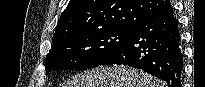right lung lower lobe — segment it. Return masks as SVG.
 Segmentation results:
<instances>
[{"mask_svg":"<svg viewBox=\"0 0 205 87\" xmlns=\"http://www.w3.org/2000/svg\"><path fill=\"white\" fill-rule=\"evenodd\" d=\"M113 64L141 69L169 87H181L183 53L173 8L141 23L126 43L101 63Z\"/></svg>","mask_w":205,"mask_h":87,"instance_id":"right-lung-lower-lobe-1","label":"right lung lower lobe"}]
</instances>
